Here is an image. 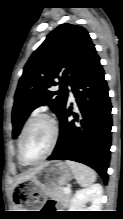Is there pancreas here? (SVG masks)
Listing matches in <instances>:
<instances>
[{"instance_id": "1", "label": "pancreas", "mask_w": 123, "mask_h": 219, "mask_svg": "<svg viewBox=\"0 0 123 219\" xmlns=\"http://www.w3.org/2000/svg\"><path fill=\"white\" fill-rule=\"evenodd\" d=\"M49 196L57 201L68 203L71 199V194L64 193V188L53 189L49 192Z\"/></svg>"}]
</instances>
